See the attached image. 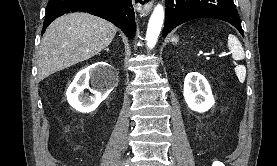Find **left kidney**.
I'll list each match as a JSON object with an SVG mask.
<instances>
[{
  "label": "left kidney",
  "mask_w": 277,
  "mask_h": 166,
  "mask_svg": "<svg viewBox=\"0 0 277 166\" xmlns=\"http://www.w3.org/2000/svg\"><path fill=\"white\" fill-rule=\"evenodd\" d=\"M183 95L188 107L199 113L208 111L215 103L209 83L197 72L185 77Z\"/></svg>",
  "instance_id": "5707ae66"
}]
</instances>
